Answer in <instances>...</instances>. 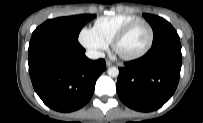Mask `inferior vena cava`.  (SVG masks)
Returning a JSON list of instances; mask_svg holds the SVG:
<instances>
[{"label": "inferior vena cava", "mask_w": 203, "mask_h": 123, "mask_svg": "<svg viewBox=\"0 0 203 123\" xmlns=\"http://www.w3.org/2000/svg\"><path fill=\"white\" fill-rule=\"evenodd\" d=\"M85 54L89 59L104 58V56H105V54L103 52L93 50V49L87 50Z\"/></svg>", "instance_id": "602c4592"}]
</instances>
